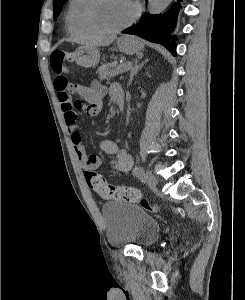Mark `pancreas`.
<instances>
[{
	"label": "pancreas",
	"instance_id": "cf45deb5",
	"mask_svg": "<svg viewBox=\"0 0 245 300\" xmlns=\"http://www.w3.org/2000/svg\"><path fill=\"white\" fill-rule=\"evenodd\" d=\"M115 62L106 63L100 66L97 70L98 77L103 80H110L116 75Z\"/></svg>",
	"mask_w": 245,
	"mask_h": 300
}]
</instances>
